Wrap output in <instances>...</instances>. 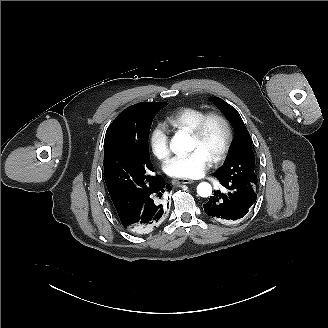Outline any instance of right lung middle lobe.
Masks as SVG:
<instances>
[{
    "instance_id": "obj_1",
    "label": "right lung middle lobe",
    "mask_w": 328,
    "mask_h": 328,
    "mask_svg": "<svg viewBox=\"0 0 328 328\" xmlns=\"http://www.w3.org/2000/svg\"><path fill=\"white\" fill-rule=\"evenodd\" d=\"M167 103L132 105L108 127L104 140V179L115 206H129L154 186L148 138L155 115Z\"/></svg>"
}]
</instances>
